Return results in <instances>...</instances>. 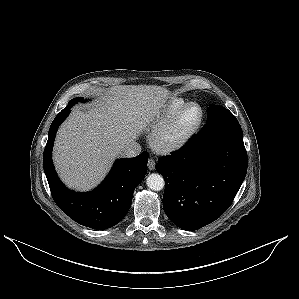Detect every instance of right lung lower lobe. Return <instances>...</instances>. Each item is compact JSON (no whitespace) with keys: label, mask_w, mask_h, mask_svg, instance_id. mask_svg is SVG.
Instances as JSON below:
<instances>
[{"label":"right lung lower lobe","mask_w":299,"mask_h":299,"mask_svg":"<svg viewBox=\"0 0 299 299\" xmlns=\"http://www.w3.org/2000/svg\"><path fill=\"white\" fill-rule=\"evenodd\" d=\"M68 105L53 120L44 149L43 167L52 197L59 208L77 223L94 230L118 224L127 214L136 186L147 173L148 153L117 160L106 179L94 191L77 193L66 188L52 162V147L57 129L71 112Z\"/></svg>","instance_id":"obj_1"}]
</instances>
